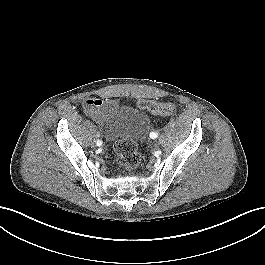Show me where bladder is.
I'll return each mask as SVG.
<instances>
[{
    "label": "bladder",
    "mask_w": 265,
    "mask_h": 265,
    "mask_svg": "<svg viewBox=\"0 0 265 265\" xmlns=\"http://www.w3.org/2000/svg\"><path fill=\"white\" fill-rule=\"evenodd\" d=\"M149 117L130 107L113 106L108 119V133L114 140L143 141L148 134Z\"/></svg>",
    "instance_id": "1"
}]
</instances>
